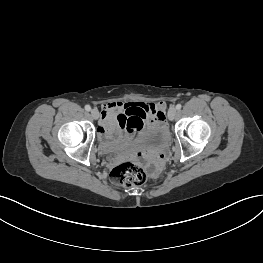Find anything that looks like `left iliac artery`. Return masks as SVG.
<instances>
[{
  "mask_svg": "<svg viewBox=\"0 0 263 263\" xmlns=\"http://www.w3.org/2000/svg\"><path fill=\"white\" fill-rule=\"evenodd\" d=\"M181 107H182V105H181V104H177V105H176V109H177V110H180V109H181Z\"/></svg>",
  "mask_w": 263,
  "mask_h": 263,
  "instance_id": "obj_1",
  "label": "left iliac artery"
}]
</instances>
